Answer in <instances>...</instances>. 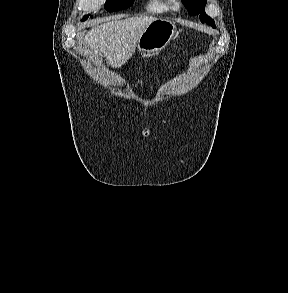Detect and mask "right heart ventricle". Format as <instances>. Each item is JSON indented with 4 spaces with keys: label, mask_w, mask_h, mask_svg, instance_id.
<instances>
[{
    "label": "right heart ventricle",
    "mask_w": 288,
    "mask_h": 293,
    "mask_svg": "<svg viewBox=\"0 0 288 293\" xmlns=\"http://www.w3.org/2000/svg\"><path fill=\"white\" fill-rule=\"evenodd\" d=\"M171 9L169 0H149L147 10L153 13H164Z\"/></svg>",
    "instance_id": "1"
}]
</instances>
